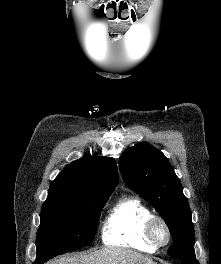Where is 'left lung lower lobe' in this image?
Instances as JSON below:
<instances>
[{"mask_svg":"<svg viewBox=\"0 0 221 264\" xmlns=\"http://www.w3.org/2000/svg\"><path fill=\"white\" fill-rule=\"evenodd\" d=\"M180 261L183 264H199L195 257L193 258H181Z\"/></svg>","mask_w":221,"mask_h":264,"instance_id":"obj_1","label":"left lung lower lobe"}]
</instances>
